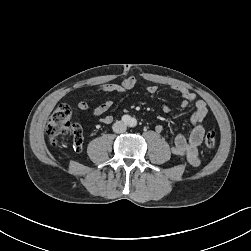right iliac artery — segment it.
<instances>
[{
  "label": "right iliac artery",
  "instance_id": "82829eb1",
  "mask_svg": "<svg viewBox=\"0 0 251 251\" xmlns=\"http://www.w3.org/2000/svg\"><path fill=\"white\" fill-rule=\"evenodd\" d=\"M122 121L124 122V123H129L130 122V117L128 116V115H124L123 117H122Z\"/></svg>",
  "mask_w": 251,
  "mask_h": 251
}]
</instances>
